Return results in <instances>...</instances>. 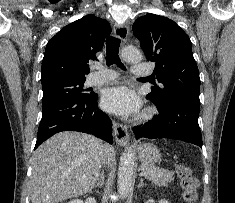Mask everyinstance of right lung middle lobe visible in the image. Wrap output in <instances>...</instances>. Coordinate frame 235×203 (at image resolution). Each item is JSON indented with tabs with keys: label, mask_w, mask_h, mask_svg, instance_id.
Listing matches in <instances>:
<instances>
[{
	"label": "right lung middle lobe",
	"mask_w": 235,
	"mask_h": 203,
	"mask_svg": "<svg viewBox=\"0 0 235 203\" xmlns=\"http://www.w3.org/2000/svg\"><path fill=\"white\" fill-rule=\"evenodd\" d=\"M84 82L85 80L61 81L42 85V106H45L53 101L66 97H89L90 94L86 93V90L83 89Z\"/></svg>",
	"instance_id": "dd1d6c3e"
}]
</instances>
